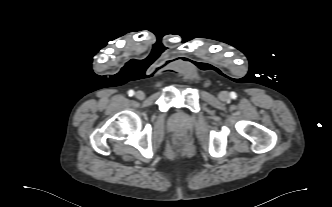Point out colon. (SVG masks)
I'll use <instances>...</instances> for the list:
<instances>
[{"instance_id":"colon-1","label":"colon","mask_w":332,"mask_h":207,"mask_svg":"<svg viewBox=\"0 0 332 207\" xmlns=\"http://www.w3.org/2000/svg\"><path fill=\"white\" fill-rule=\"evenodd\" d=\"M174 143L175 144H182L183 143V138L180 136H177L174 138Z\"/></svg>"}]
</instances>
